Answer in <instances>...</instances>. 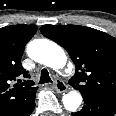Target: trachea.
Instances as JSON below:
<instances>
[{
  "mask_svg": "<svg viewBox=\"0 0 116 116\" xmlns=\"http://www.w3.org/2000/svg\"><path fill=\"white\" fill-rule=\"evenodd\" d=\"M50 82H52V80L49 76V72L47 71V69H43L41 71L39 84L50 83Z\"/></svg>",
  "mask_w": 116,
  "mask_h": 116,
  "instance_id": "obj_1",
  "label": "trachea"
}]
</instances>
